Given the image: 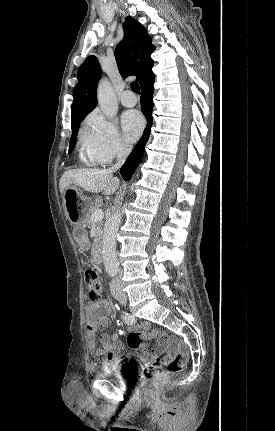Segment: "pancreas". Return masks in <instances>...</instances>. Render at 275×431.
<instances>
[{"label": "pancreas", "mask_w": 275, "mask_h": 431, "mask_svg": "<svg viewBox=\"0 0 275 431\" xmlns=\"http://www.w3.org/2000/svg\"><path fill=\"white\" fill-rule=\"evenodd\" d=\"M101 206H102V200H101L100 197H97L95 199V201H94V204L89 209V213H88V216H87V219H86V223H87L88 226H90L93 223V220L91 219L92 213L95 210L99 209ZM102 224H103V222L101 220H99V221H97L95 223V226H96V236H95V239H94L95 243H97L100 240L101 231H102Z\"/></svg>", "instance_id": "pancreas-1"}]
</instances>
